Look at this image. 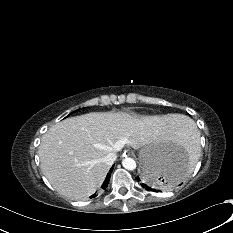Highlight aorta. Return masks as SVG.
I'll list each match as a JSON object with an SVG mask.
<instances>
[{
  "mask_svg": "<svg viewBox=\"0 0 233 233\" xmlns=\"http://www.w3.org/2000/svg\"><path fill=\"white\" fill-rule=\"evenodd\" d=\"M122 165L127 170H134L136 168L135 160L129 157H126L122 160Z\"/></svg>",
  "mask_w": 233,
  "mask_h": 233,
  "instance_id": "1",
  "label": "aorta"
}]
</instances>
